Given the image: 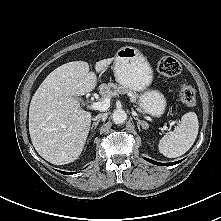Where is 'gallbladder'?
Here are the masks:
<instances>
[{
	"mask_svg": "<svg viewBox=\"0 0 221 221\" xmlns=\"http://www.w3.org/2000/svg\"><path fill=\"white\" fill-rule=\"evenodd\" d=\"M77 100H80V98H78V97H75Z\"/></svg>",
	"mask_w": 221,
	"mask_h": 221,
	"instance_id": "1",
	"label": "gallbladder"
}]
</instances>
